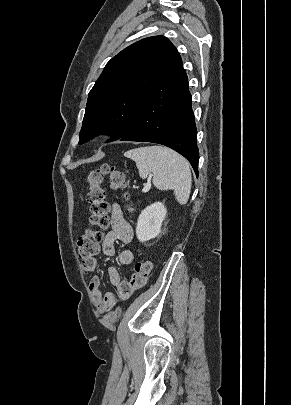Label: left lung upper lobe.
<instances>
[{"mask_svg": "<svg viewBox=\"0 0 291 405\" xmlns=\"http://www.w3.org/2000/svg\"><path fill=\"white\" fill-rule=\"evenodd\" d=\"M178 56L166 37L153 36L112 58L89 92L79 144L102 131L113 134L111 140L120 139L130 129L142 99Z\"/></svg>", "mask_w": 291, "mask_h": 405, "instance_id": "left-lung-upper-lobe-1", "label": "left lung upper lobe"}]
</instances>
